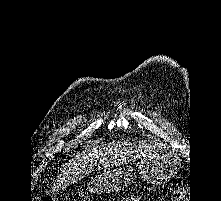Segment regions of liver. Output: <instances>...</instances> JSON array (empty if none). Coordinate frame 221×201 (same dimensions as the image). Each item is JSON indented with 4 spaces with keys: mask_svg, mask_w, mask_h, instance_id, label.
I'll use <instances>...</instances> for the list:
<instances>
[{
    "mask_svg": "<svg viewBox=\"0 0 221 201\" xmlns=\"http://www.w3.org/2000/svg\"><path fill=\"white\" fill-rule=\"evenodd\" d=\"M155 152V147L150 144H132L120 140L84 150L69 160L61 170L53 186V191L65 189L72 183L84 178L94 171L99 162L104 168L132 163L137 159Z\"/></svg>",
    "mask_w": 221,
    "mask_h": 201,
    "instance_id": "6515ba94",
    "label": "liver"
}]
</instances>
